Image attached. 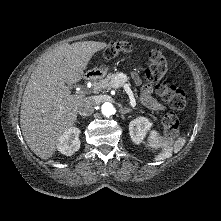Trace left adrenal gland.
<instances>
[{
  "label": "left adrenal gland",
  "instance_id": "left-adrenal-gland-1",
  "mask_svg": "<svg viewBox=\"0 0 221 221\" xmlns=\"http://www.w3.org/2000/svg\"><path fill=\"white\" fill-rule=\"evenodd\" d=\"M131 111H132L131 109H129V108H123V107H121L120 110H119V112H120L122 115H124V114H126V113H129V112H131Z\"/></svg>",
  "mask_w": 221,
  "mask_h": 221
}]
</instances>
